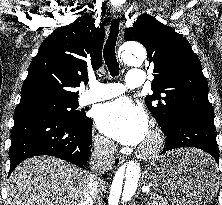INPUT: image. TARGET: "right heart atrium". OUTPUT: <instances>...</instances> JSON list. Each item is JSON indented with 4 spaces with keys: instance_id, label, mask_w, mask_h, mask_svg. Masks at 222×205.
Returning a JSON list of instances; mask_svg holds the SVG:
<instances>
[{
    "instance_id": "d8ad5b80",
    "label": "right heart atrium",
    "mask_w": 222,
    "mask_h": 205,
    "mask_svg": "<svg viewBox=\"0 0 222 205\" xmlns=\"http://www.w3.org/2000/svg\"><path fill=\"white\" fill-rule=\"evenodd\" d=\"M96 148L102 153L108 154L111 151V143L103 135L97 134L94 138Z\"/></svg>"
}]
</instances>
